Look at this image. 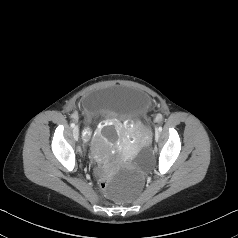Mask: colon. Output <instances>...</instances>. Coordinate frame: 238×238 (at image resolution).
Here are the masks:
<instances>
[{
  "label": "colon",
  "mask_w": 238,
  "mask_h": 238,
  "mask_svg": "<svg viewBox=\"0 0 238 238\" xmlns=\"http://www.w3.org/2000/svg\"><path fill=\"white\" fill-rule=\"evenodd\" d=\"M156 120L158 122H160L162 119L161 117H157ZM99 187L102 189V190H105L107 187H108V184H107V181L105 179L101 180L100 184H99Z\"/></svg>",
  "instance_id": "5ec220e1"
}]
</instances>
